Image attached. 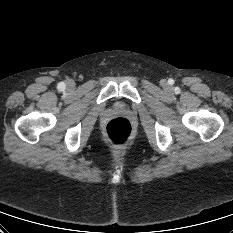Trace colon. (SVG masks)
Returning a JSON list of instances; mask_svg holds the SVG:
<instances>
[{
    "label": "colon",
    "mask_w": 233,
    "mask_h": 233,
    "mask_svg": "<svg viewBox=\"0 0 233 233\" xmlns=\"http://www.w3.org/2000/svg\"><path fill=\"white\" fill-rule=\"evenodd\" d=\"M133 129L130 121L123 117L110 120L105 128V135L109 142L124 145L130 141Z\"/></svg>",
    "instance_id": "colon-1"
}]
</instances>
